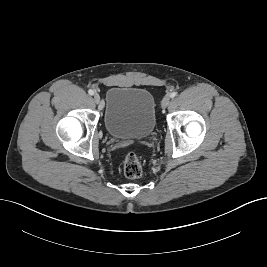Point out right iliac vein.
Masks as SVG:
<instances>
[{"mask_svg":"<svg viewBox=\"0 0 267 267\" xmlns=\"http://www.w3.org/2000/svg\"><path fill=\"white\" fill-rule=\"evenodd\" d=\"M94 101L98 104L100 102V96L99 94L95 93L94 94Z\"/></svg>","mask_w":267,"mask_h":267,"instance_id":"right-iliac-vein-1","label":"right iliac vein"}]
</instances>
